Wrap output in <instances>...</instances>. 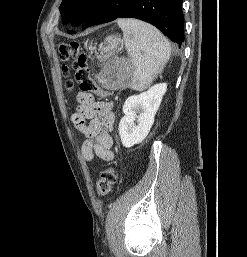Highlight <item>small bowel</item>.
Masks as SVG:
<instances>
[{
	"mask_svg": "<svg viewBox=\"0 0 247 257\" xmlns=\"http://www.w3.org/2000/svg\"><path fill=\"white\" fill-rule=\"evenodd\" d=\"M77 101L79 105L71 119L86 137L81 147L84 159L91 162L96 156L111 161L114 158L111 131L115 120L112 103L97 101L83 91L78 93Z\"/></svg>",
	"mask_w": 247,
	"mask_h": 257,
	"instance_id": "obj_1",
	"label": "small bowel"
}]
</instances>
